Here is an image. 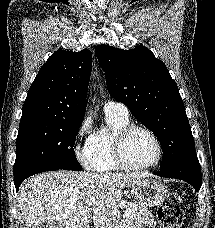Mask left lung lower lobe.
Wrapping results in <instances>:
<instances>
[{
	"label": "left lung lower lobe",
	"instance_id": "left-lung-lower-lobe-1",
	"mask_svg": "<svg viewBox=\"0 0 215 228\" xmlns=\"http://www.w3.org/2000/svg\"><path fill=\"white\" fill-rule=\"evenodd\" d=\"M157 176L175 178L191 184L196 192L201 188L202 174L199 160L195 155H190L175 164L154 173Z\"/></svg>",
	"mask_w": 215,
	"mask_h": 228
}]
</instances>
